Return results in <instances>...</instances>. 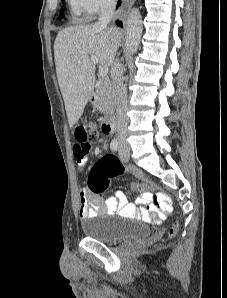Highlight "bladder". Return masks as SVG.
Wrapping results in <instances>:
<instances>
[{
  "label": "bladder",
  "mask_w": 227,
  "mask_h": 298,
  "mask_svg": "<svg viewBox=\"0 0 227 298\" xmlns=\"http://www.w3.org/2000/svg\"><path fill=\"white\" fill-rule=\"evenodd\" d=\"M82 231L86 237L106 244L147 238L151 234L148 225L129 218L109 220L97 217L84 221Z\"/></svg>",
  "instance_id": "31cf9c89"
}]
</instances>
